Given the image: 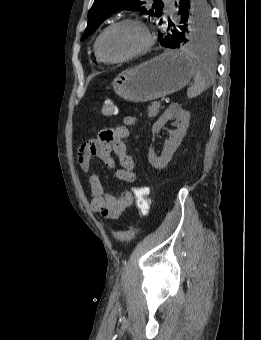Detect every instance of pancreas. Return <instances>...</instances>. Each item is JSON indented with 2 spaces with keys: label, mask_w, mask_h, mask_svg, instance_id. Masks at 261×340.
Wrapping results in <instances>:
<instances>
[{
  "label": "pancreas",
  "mask_w": 261,
  "mask_h": 340,
  "mask_svg": "<svg viewBox=\"0 0 261 340\" xmlns=\"http://www.w3.org/2000/svg\"><path fill=\"white\" fill-rule=\"evenodd\" d=\"M160 102H153L149 107H148V116L150 118H154L160 110Z\"/></svg>",
  "instance_id": "1"
}]
</instances>
